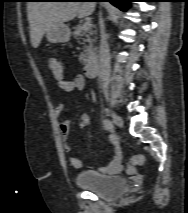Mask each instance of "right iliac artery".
I'll list each match as a JSON object with an SVG mask.
<instances>
[{
  "instance_id": "82829eb1",
  "label": "right iliac artery",
  "mask_w": 188,
  "mask_h": 213,
  "mask_svg": "<svg viewBox=\"0 0 188 213\" xmlns=\"http://www.w3.org/2000/svg\"><path fill=\"white\" fill-rule=\"evenodd\" d=\"M103 126L106 130H108L110 132H114V125H113L112 121H110L109 119L103 120Z\"/></svg>"
}]
</instances>
